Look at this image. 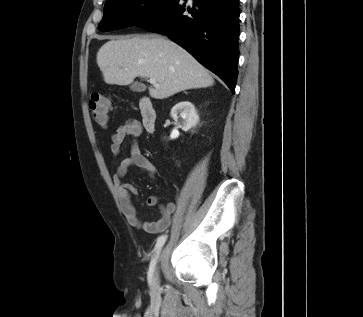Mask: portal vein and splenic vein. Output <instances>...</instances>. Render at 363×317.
I'll list each match as a JSON object with an SVG mask.
<instances>
[{"mask_svg": "<svg viewBox=\"0 0 363 317\" xmlns=\"http://www.w3.org/2000/svg\"><path fill=\"white\" fill-rule=\"evenodd\" d=\"M149 82H150V84H152L154 87H159V84L156 82V80H155V79L150 78V79H149Z\"/></svg>", "mask_w": 363, "mask_h": 317, "instance_id": "18ae733b", "label": "portal vein and splenic vein"}]
</instances>
